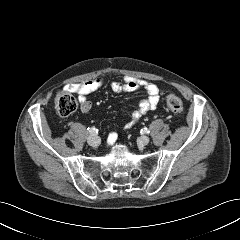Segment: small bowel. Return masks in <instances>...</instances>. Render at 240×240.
Listing matches in <instances>:
<instances>
[{
	"instance_id": "small-bowel-1",
	"label": "small bowel",
	"mask_w": 240,
	"mask_h": 240,
	"mask_svg": "<svg viewBox=\"0 0 240 240\" xmlns=\"http://www.w3.org/2000/svg\"><path fill=\"white\" fill-rule=\"evenodd\" d=\"M106 80L103 78H96L87 80L82 83L70 84L67 89L79 97L80 109L83 113H88L91 110L92 104L88 99V96L104 87ZM109 87L117 93L121 92H136L143 89L147 96L142 98L138 107L131 113L130 120L126 124L125 129H129L134 126L140 118L148 112L154 110L160 100V92L158 87L145 80L125 77L122 81H109ZM117 139V133L111 132L107 137L108 144L112 145Z\"/></svg>"
}]
</instances>
